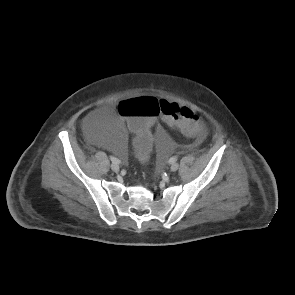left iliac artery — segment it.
I'll return each instance as SVG.
<instances>
[{
    "instance_id": "44dca946",
    "label": "left iliac artery",
    "mask_w": 295,
    "mask_h": 295,
    "mask_svg": "<svg viewBox=\"0 0 295 295\" xmlns=\"http://www.w3.org/2000/svg\"><path fill=\"white\" fill-rule=\"evenodd\" d=\"M177 159H178V158L175 157V156H174V157H171V158L169 159V163H170V164H173V163H175V162L177 161Z\"/></svg>"
}]
</instances>
